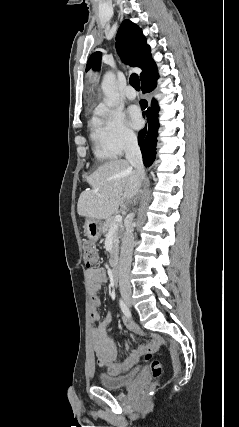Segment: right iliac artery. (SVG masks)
I'll return each mask as SVG.
<instances>
[{"mask_svg":"<svg viewBox=\"0 0 239 427\" xmlns=\"http://www.w3.org/2000/svg\"><path fill=\"white\" fill-rule=\"evenodd\" d=\"M119 304H120V308H121L122 312L124 313V315L126 317L130 318L131 317V312H130L129 308L127 307V305L124 303V301L122 299H120Z\"/></svg>","mask_w":239,"mask_h":427,"instance_id":"1","label":"right iliac artery"}]
</instances>
